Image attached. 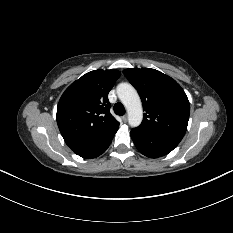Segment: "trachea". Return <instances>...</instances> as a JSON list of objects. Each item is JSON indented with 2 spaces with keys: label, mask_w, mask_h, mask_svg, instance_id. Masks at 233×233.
I'll return each mask as SVG.
<instances>
[{
  "label": "trachea",
  "mask_w": 233,
  "mask_h": 233,
  "mask_svg": "<svg viewBox=\"0 0 233 233\" xmlns=\"http://www.w3.org/2000/svg\"><path fill=\"white\" fill-rule=\"evenodd\" d=\"M114 112H115V114L120 115V116L124 115L125 114V108H124L123 104L122 103H116L114 105Z\"/></svg>",
  "instance_id": "3493384b"
}]
</instances>
